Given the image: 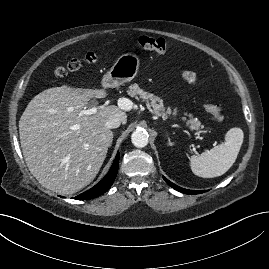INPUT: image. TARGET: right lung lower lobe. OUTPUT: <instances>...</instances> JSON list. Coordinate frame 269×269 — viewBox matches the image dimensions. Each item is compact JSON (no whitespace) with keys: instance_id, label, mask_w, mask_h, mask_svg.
<instances>
[{"instance_id":"1","label":"right lung lower lobe","mask_w":269,"mask_h":269,"mask_svg":"<svg viewBox=\"0 0 269 269\" xmlns=\"http://www.w3.org/2000/svg\"><path fill=\"white\" fill-rule=\"evenodd\" d=\"M118 166H119V152L117 153L114 163L112 164V167L110 168L107 175L94 187L78 195L76 199L88 200V199L98 197L101 194L105 193L111 187V185L113 184L115 180V177L118 172Z\"/></svg>"}]
</instances>
